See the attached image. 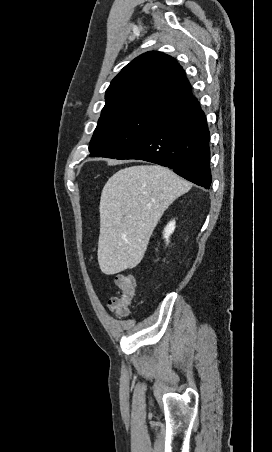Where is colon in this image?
Segmentation results:
<instances>
[{
	"label": "colon",
	"mask_w": 272,
	"mask_h": 452,
	"mask_svg": "<svg viewBox=\"0 0 272 452\" xmlns=\"http://www.w3.org/2000/svg\"><path fill=\"white\" fill-rule=\"evenodd\" d=\"M115 283L120 290L118 296L110 298L108 307L118 316L130 313L132 301L136 294V280L131 274H117Z\"/></svg>",
	"instance_id": "colon-1"
}]
</instances>
